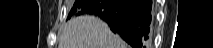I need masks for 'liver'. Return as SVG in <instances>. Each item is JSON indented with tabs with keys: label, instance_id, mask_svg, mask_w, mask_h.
I'll list each match as a JSON object with an SVG mask.
<instances>
[{
	"label": "liver",
	"instance_id": "liver-1",
	"mask_svg": "<svg viewBox=\"0 0 213 48\" xmlns=\"http://www.w3.org/2000/svg\"><path fill=\"white\" fill-rule=\"evenodd\" d=\"M108 25L92 15L72 18L62 28L58 48H127Z\"/></svg>",
	"mask_w": 213,
	"mask_h": 48
}]
</instances>
